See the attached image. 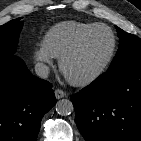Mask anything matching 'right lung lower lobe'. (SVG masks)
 I'll list each match as a JSON object with an SVG mask.
<instances>
[{"mask_svg": "<svg viewBox=\"0 0 141 141\" xmlns=\"http://www.w3.org/2000/svg\"><path fill=\"white\" fill-rule=\"evenodd\" d=\"M51 88L17 56L0 57V141L37 140L42 117L56 103Z\"/></svg>", "mask_w": 141, "mask_h": 141, "instance_id": "1", "label": "right lung lower lobe"}]
</instances>
